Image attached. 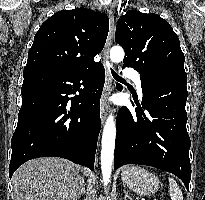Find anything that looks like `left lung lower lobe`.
Masks as SVG:
<instances>
[{
	"instance_id": "0a47b994",
	"label": "left lung lower lobe",
	"mask_w": 205,
	"mask_h": 200,
	"mask_svg": "<svg viewBox=\"0 0 205 200\" xmlns=\"http://www.w3.org/2000/svg\"><path fill=\"white\" fill-rule=\"evenodd\" d=\"M140 78L142 107H122L117 115L114 169L125 164L153 166L178 176L189 190L187 74L173 70Z\"/></svg>"
}]
</instances>
